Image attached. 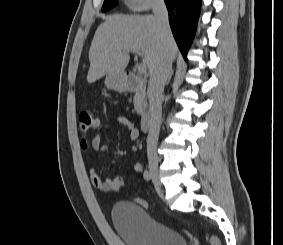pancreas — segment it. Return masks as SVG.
Here are the masks:
<instances>
[{"mask_svg": "<svg viewBox=\"0 0 283 245\" xmlns=\"http://www.w3.org/2000/svg\"><path fill=\"white\" fill-rule=\"evenodd\" d=\"M142 98L139 94H136L134 97V107L135 110L138 114H141L143 111V107H142Z\"/></svg>", "mask_w": 283, "mask_h": 245, "instance_id": "1", "label": "pancreas"}]
</instances>
